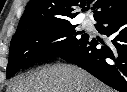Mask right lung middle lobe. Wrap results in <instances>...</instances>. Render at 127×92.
<instances>
[{
    "label": "right lung middle lobe",
    "mask_w": 127,
    "mask_h": 92,
    "mask_svg": "<svg viewBox=\"0 0 127 92\" xmlns=\"http://www.w3.org/2000/svg\"><path fill=\"white\" fill-rule=\"evenodd\" d=\"M77 25L37 26L11 40L6 78L23 66L62 56L76 49L88 34L78 31ZM59 40L55 43L52 41Z\"/></svg>",
    "instance_id": "dd1d6c3e"
}]
</instances>
